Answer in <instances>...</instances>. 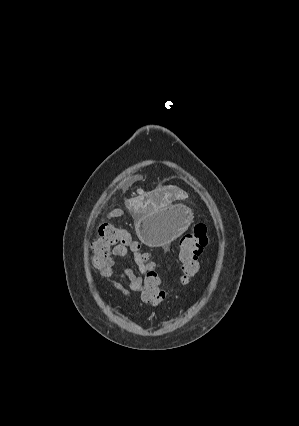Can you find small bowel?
I'll return each instance as SVG.
<instances>
[{
    "label": "small bowel",
    "mask_w": 299,
    "mask_h": 426,
    "mask_svg": "<svg viewBox=\"0 0 299 426\" xmlns=\"http://www.w3.org/2000/svg\"><path fill=\"white\" fill-rule=\"evenodd\" d=\"M128 254H132L134 262L137 265V270L127 266H120L117 263L118 258H124ZM146 270L147 268L139 251L124 246H117L113 248L111 254L99 268V274L110 283L114 289L119 291L123 296L129 298L131 292H135L139 296L141 295ZM114 278H118L119 281H116Z\"/></svg>",
    "instance_id": "obj_1"
}]
</instances>
